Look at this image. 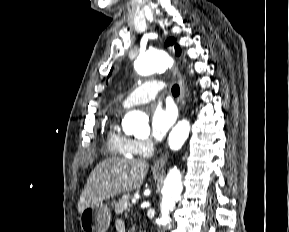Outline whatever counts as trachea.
<instances>
[{
	"mask_svg": "<svg viewBox=\"0 0 289 232\" xmlns=\"http://www.w3.org/2000/svg\"><path fill=\"white\" fill-rule=\"evenodd\" d=\"M172 94L173 96H178L180 94V88L178 85H173L172 86Z\"/></svg>",
	"mask_w": 289,
	"mask_h": 232,
	"instance_id": "1",
	"label": "trachea"
}]
</instances>
